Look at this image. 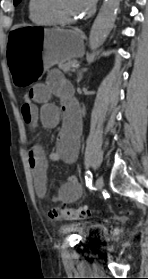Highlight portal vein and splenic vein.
I'll use <instances>...</instances> for the list:
<instances>
[{"label": "portal vein and splenic vein", "mask_w": 148, "mask_h": 279, "mask_svg": "<svg viewBox=\"0 0 148 279\" xmlns=\"http://www.w3.org/2000/svg\"><path fill=\"white\" fill-rule=\"evenodd\" d=\"M72 67H73V70H74V69H75V66L73 65Z\"/></svg>", "instance_id": "18ae733b"}]
</instances>
